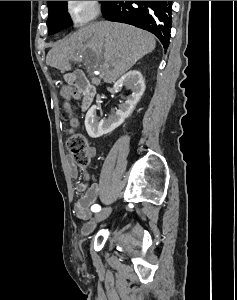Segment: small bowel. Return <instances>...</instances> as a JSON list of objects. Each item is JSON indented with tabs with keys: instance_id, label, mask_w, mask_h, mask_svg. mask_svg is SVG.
<instances>
[{
	"instance_id": "obj_1",
	"label": "small bowel",
	"mask_w": 237,
	"mask_h": 300,
	"mask_svg": "<svg viewBox=\"0 0 237 300\" xmlns=\"http://www.w3.org/2000/svg\"><path fill=\"white\" fill-rule=\"evenodd\" d=\"M70 125L76 128L79 125L77 118H71ZM89 156L93 158L96 156V149L91 147L89 149ZM68 172L72 178H77L79 175V169L71 159L67 160ZM83 180L76 186V190L83 193L81 198L77 201L74 207V214L80 220H88L91 216V208L98 199L101 197V191L103 188H117L118 183L115 180L106 179L102 177L99 183H95L91 180L88 171L85 168L81 169ZM93 223H87L82 232L86 233L93 227Z\"/></svg>"
}]
</instances>
